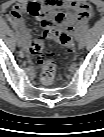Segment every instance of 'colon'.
Masks as SVG:
<instances>
[{
	"label": "colon",
	"instance_id": "5ec220e1",
	"mask_svg": "<svg viewBox=\"0 0 104 137\" xmlns=\"http://www.w3.org/2000/svg\"><path fill=\"white\" fill-rule=\"evenodd\" d=\"M46 39H53L73 52L75 49L74 39L70 31L61 24L46 22L42 37L31 42L30 53L40 68V78L44 84H51L56 78V64L52 55L45 50Z\"/></svg>",
	"mask_w": 104,
	"mask_h": 137
}]
</instances>
